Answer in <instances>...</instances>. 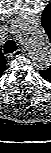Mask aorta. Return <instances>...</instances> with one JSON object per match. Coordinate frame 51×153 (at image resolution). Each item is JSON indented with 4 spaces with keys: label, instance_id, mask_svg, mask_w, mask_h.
Listing matches in <instances>:
<instances>
[{
    "label": "aorta",
    "instance_id": "aorta-1",
    "mask_svg": "<svg viewBox=\"0 0 51 153\" xmlns=\"http://www.w3.org/2000/svg\"><path fill=\"white\" fill-rule=\"evenodd\" d=\"M13 33L26 49L34 65L44 69L50 66V42L41 26L21 20L13 26Z\"/></svg>",
    "mask_w": 51,
    "mask_h": 153
}]
</instances>
